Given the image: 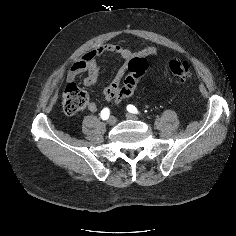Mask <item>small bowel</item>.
<instances>
[{"label":"small bowel","mask_w":236,"mask_h":236,"mask_svg":"<svg viewBox=\"0 0 236 236\" xmlns=\"http://www.w3.org/2000/svg\"><path fill=\"white\" fill-rule=\"evenodd\" d=\"M104 54L119 56L123 59L122 65L118 68L111 82L103 87L106 100L112 102L117 100L120 91V83L127 71L129 60L134 56L155 58L158 55V51L154 47H145L137 52H133L119 44L105 43L85 53L76 62L71 64L65 74L66 81L71 82L78 75L86 74L83 79V84L89 88L95 87L98 84L100 75L98 59ZM133 93L134 92L129 93L124 98L130 97ZM87 108L91 113L97 111V105L94 102H90Z\"/></svg>","instance_id":"c3829d8e"}]
</instances>
